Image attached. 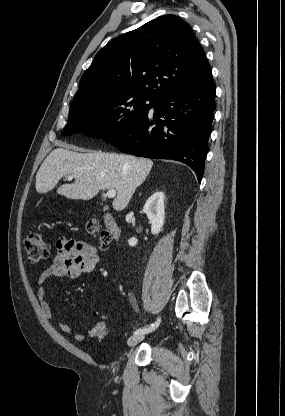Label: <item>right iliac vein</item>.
<instances>
[{"label":"right iliac vein","instance_id":"obj_1","mask_svg":"<svg viewBox=\"0 0 285 416\" xmlns=\"http://www.w3.org/2000/svg\"><path fill=\"white\" fill-rule=\"evenodd\" d=\"M145 338L144 334H135L128 338L127 345L128 347H133L140 343Z\"/></svg>","mask_w":285,"mask_h":416}]
</instances>
